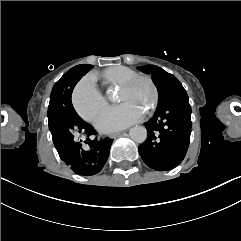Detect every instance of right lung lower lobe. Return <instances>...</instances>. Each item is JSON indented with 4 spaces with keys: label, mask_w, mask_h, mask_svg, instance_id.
Returning <instances> with one entry per match:
<instances>
[{
    "label": "right lung lower lobe",
    "mask_w": 241,
    "mask_h": 241,
    "mask_svg": "<svg viewBox=\"0 0 241 241\" xmlns=\"http://www.w3.org/2000/svg\"><path fill=\"white\" fill-rule=\"evenodd\" d=\"M74 72L70 87L74 88L76 83L93 67L83 64ZM82 133L88 136L95 133L92 125L81 118L73 120L68 125H64L55 136L54 145L61 158L70 168L79 175L91 176L99 173L107 162L111 139L91 140L87 138L84 142L88 148L82 147V140L77 141L75 134Z\"/></svg>",
    "instance_id": "obj_1"
}]
</instances>
